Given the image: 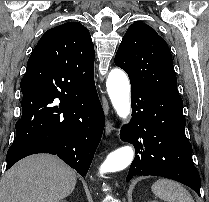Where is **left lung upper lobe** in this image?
I'll list each match as a JSON object with an SVG mask.
<instances>
[{
    "label": "left lung upper lobe",
    "instance_id": "left-lung-upper-lobe-1",
    "mask_svg": "<svg viewBox=\"0 0 209 202\" xmlns=\"http://www.w3.org/2000/svg\"><path fill=\"white\" fill-rule=\"evenodd\" d=\"M115 64L124 69L130 83L179 97L173 60L167 43L143 22H134L122 38Z\"/></svg>",
    "mask_w": 209,
    "mask_h": 202
}]
</instances>
